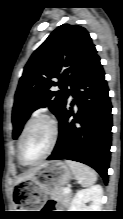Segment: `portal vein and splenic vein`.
<instances>
[{"instance_id": "1", "label": "portal vein and splenic vein", "mask_w": 123, "mask_h": 219, "mask_svg": "<svg viewBox=\"0 0 123 219\" xmlns=\"http://www.w3.org/2000/svg\"><path fill=\"white\" fill-rule=\"evenodd\" d=\"M71 192L70 188H64V193L69 194Z\"/></svg>"}]
</instances>
